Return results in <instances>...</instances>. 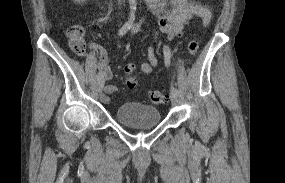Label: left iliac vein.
I'll return each instance as SVG.
<instances>
[{
  "label": "left iliac vein",
  "instance_id": "1",
  "mask_svg": "<svg viewBox=\"0 0 285 183\" xmlns=\"http://www.w3.org/2000/svg\"><path fill=\"white\" fill-rule=\"evenodd\" d=\"M171 103L172 105H176L178 103V95L171 92Z\"/></svg>",
  "mask_w": 285,
  "mask_h": 183
}]
</instances>
